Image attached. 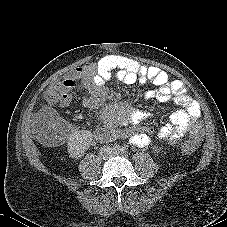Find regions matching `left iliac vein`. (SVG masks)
Instances as JSON below:
<instances>
[{"label":"left iliac vein","instance_id":"4c4485c4","mask_svg":"<svg viewBox=\"0 0 227 227\" xmlns=\"http://www.w3.org/2000/svg\"><path fill=\"white\" fill-rule=\"evenodd\" d=\"M119 154H120L119 151H113V152H112V155H119Z\"/></svg>","mask_w":227,"mask_h":227}]
</instances>
